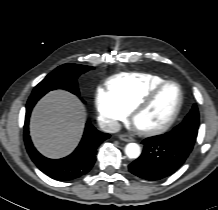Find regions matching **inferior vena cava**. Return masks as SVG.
<instances>
[{
  "label": "inferior vena cava",
  "mask_w": 218,
  "mask_h": 210,
  "mask_svg": "<svg viewBox=\"0 0 218 210\" xmlns=\"http://www.w3.org/2000/svg\"><path fill=\"white\" fill-rule=\"evenodd\" d=\"M99 127L106 133H116L121 129V125L118 121L106 118L99 119Z\"/></svg>",
  "instance_id": "1"
}]
</instances>
